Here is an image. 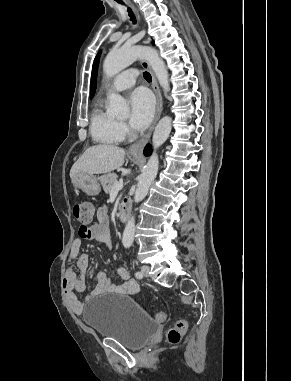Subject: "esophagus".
<instances>
[{"label":"esophagus","instance_id":"esophagus-1","mask_svg":"<svg viewBox=\"0 0 291 381\" xmlns=\"http://www.w3.org/2000/svg\"><path fill=\"white\" fill-rule=\"evenodd\" d=\"M132 9L137 15L138 19L140 20V15L137 12V10L134 8V6H132ZM141 65L150 72L152 77V88L156 96V113L149 130L138 141H136L129 147L128 149L129 153L135 154V155H142L143 149L145 145L148 143L151 137V134L155 128V125L157 124L163 110V99H162V95H161L156 77L154 75V72L147 61L142 60Z\"/></svg>","mask_w":291,"mask_h":381}]
</instances>
